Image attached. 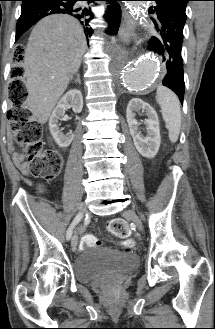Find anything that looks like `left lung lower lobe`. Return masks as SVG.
<instances>
[{"instance_id":"0a47b994","label":"left lung lower lobe","mask_w":215,"mask_h":329,"mask_svg":"<svg viewBox=\"0 0 215 329\" xmlns=\"http://www.w3.org/2000/svg\"><path fill=\"white\" fill-rule=\"evenodd\" d=\"M154 9L150 12L157 14L155 28L159 35L151 37L148 48L158 54L166 65L162 84L173 90L183 104L185 83L181 50L185 20L164 6L157 5Z\"/></svg>"}]
</instances>
